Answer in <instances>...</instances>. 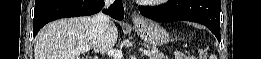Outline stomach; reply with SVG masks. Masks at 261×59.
<instances>
[{
  "label": "stomach",
  "instance_id": "1",
  "mask_svg": "<svg viewBox=\"0 0 261 59\" xmlns=\"http://www.w3.org/2000/svg\"><path fill=\"white\" fill-rule=\"evenodd\" d=\"M135 29L140 37L152 46H162L170 40L168 32L160 24L149 19L136 22Z\"/></svg>",
  "mask_w": 261,
  "mask_h": 59
}]
</instances>
